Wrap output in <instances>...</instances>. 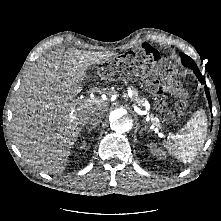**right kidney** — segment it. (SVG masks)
Returning <instances> with one entry per match:
<instances>
[{"label": "right kidney", "mask_w": 221, "mask_h": 221, "mask_svg": "<svg viewBox=\"0 0 221 221\" xmlns=\"http://www.w3.org/2000/svg\"><path fill=\"white\" fill-rule=\"evenodd\" d=\"M86 145V142H82V145L80 146V149H83Z\"/></svg>", "instance_id": "right-kidney-1"}]
</instances>
